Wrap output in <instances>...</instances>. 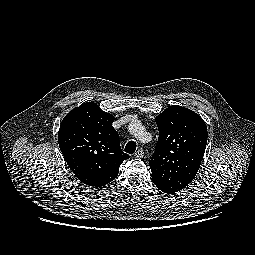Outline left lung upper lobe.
<instances>
[{"label":"left lung upper lobe","mask_w":255,"mask_h":255,"mask_svg":"<svg viewBox=\"0 0 255 255\" xmlns=\"http://www.w3.org/2000/svg\"><path fill=\"white\" fill-rule=\"evenodd\" d=\"M159 139L149 165L152 180L174 194L196 176L207 143V127L194 111L170 106L156 118Z\"/></svg>","instance_id":"left-lung-upper-lobe-1"}]
</instances>
